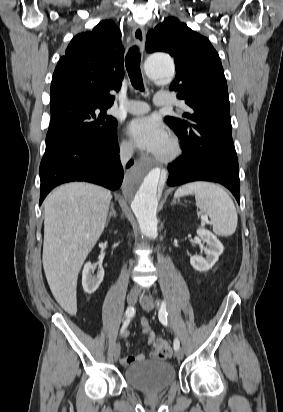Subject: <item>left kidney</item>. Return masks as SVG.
<instances>
[{
  "mask_svg": "<svg viewBox=\"0 0 283 412\" xmlns=\"http://www.w3.org/2000/svg\"><path fill=\"white\" fill-rule=\"evenodd\" d=\"M197 234L208 246L204 249L206 257L192 256L190 258V264L195 270L204 272L214 266L222 254L224 247L214 234L204 228H199Z\"/></svg>",
  "mask_w": 283,
  "mask_h": 412,
  "instance_id": "obj_1",
  "label": "left kidney"
}]
</instances>
